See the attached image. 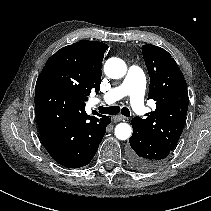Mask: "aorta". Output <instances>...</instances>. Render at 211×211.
I'll return each mask as SVG.
<instances>
[{"label": "aorta", "mask_w": 211, "mask_h": 211, "mask_svg": "<svg viewBox=\"0 0 211 211\" xmlns=\"http://www.w3.org/2000/svg\"><path fill=\"white\" fill-rule=\"evenodd\" d=\"M104 72L107 77L112 79L122 78L127 72V66L120 58L112 57L104 65ZM132 134V128L127 123H119L115 127V136L119 140H126Z\"/></svg>", "instance_id": "1"}]
</instances>
